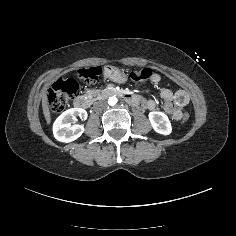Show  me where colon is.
Instances as JSON below:
<instances>
[{
	"instance_id": "colon-1",
	"label": "colon",
	"mask_w": 236,
	"mask_h": 236,
	"mask_svg": "<svg viewBox=\"0 0 236 236\" xmlns=\"http://www.w3.org/2000/svg\"><path fill=\"white\" fill-rule=\"evenodd\" d=\"M101 73L99 67H90L80 69L75 76L68 79H58L49 90L47 100L52 111L62 112L68 105L69 101L78 93L81 81L92 83L97 80ZM130 77L136 82L153 81V72L149 68H139L130 72ZM190 117L188 112H184L181 116L183 121H187Z\"/></svg>"
}]
</instances>
